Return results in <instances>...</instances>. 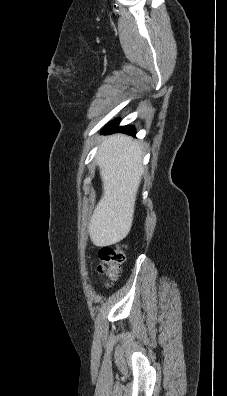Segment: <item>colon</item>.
Segmentation results:
<instances>
[{
	"label": "colon",
	"instance_id": "5ec220e1",
	"mask_svg": "<svg viewBox=\"0 0 227 396\" xmlns=\"http://www.w3.org/2000/svg\"><path fill=\"white\" fill-rule=\"evenodd\" d=\"M101 264L99 271L106 274L110 280H115L119 273L120 265L125 261V251L121 247H103L99 252Z\"/></svg>",
	"mask_w": 227,
	"mask_h": 396
}]
</instances>
